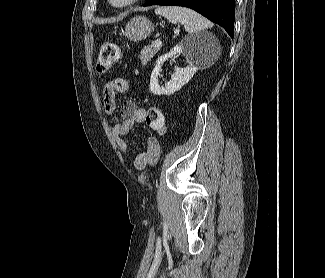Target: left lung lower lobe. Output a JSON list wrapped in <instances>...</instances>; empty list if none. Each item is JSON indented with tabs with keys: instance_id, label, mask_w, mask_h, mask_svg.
<instances>
[{
	"instance_id": "1",
	"label": "left lung lower lobe",
	"mask_w": 325,
	"mask_h": 278,
	"mask_svg": "<svg viewBox=\"0 0 325 278\" xmlns=\"http://www.w3.org/2000/svg\"><path fill=\"white\" fill-rule=\"evenodd\" d=\"M175 5L191 8L222 26L234 37V0H148L144 6Z\"/></svg>"
}]
</instances>
